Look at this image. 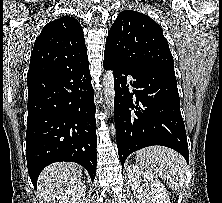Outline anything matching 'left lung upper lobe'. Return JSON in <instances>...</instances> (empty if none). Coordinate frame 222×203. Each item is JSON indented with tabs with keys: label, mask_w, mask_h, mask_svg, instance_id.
I'll use <instances>...</instances> for the list:
<instances>
[{
	"label": "left lung upper lobe",
	"mask_w": 222,
	"mask_h": 203,
	"mask_svg": "<svg viewBox=\"0 0 222 203\" xmlns=\"http://www.w3.org/2000/svg\"><path fill=\"white\" fill-rule=\"evenodd\" d=\"M104 53L131 66L174 72V60L161 27L136 11L119 13L109 30Z\"/></svg>",
	"instance_id": "obj_1"
}]
</instances>
